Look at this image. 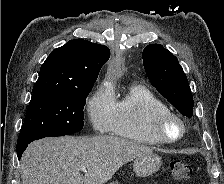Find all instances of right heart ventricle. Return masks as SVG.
Returning a JSON list of instances; mask_svg holds the SVG:
<instances>
[{
  "instance_id": "e07e8e85",
  "label": "right heart ventricle",
  "mask_w": 224,
  "mask_h": 184,
  "mask_svg": "<svg viewBox=\"0 0 224 184\" xmlns=\"http://www.w3.org/2000/svg\"><path fill=\"white\" fill-rule=\"evenodd\" d=\"M168 110L167 105L149 88L133 85L115 99L109 131L141 144H159L150 131L151 121L155 113Z\"/></svg>"
}]
</instances>
